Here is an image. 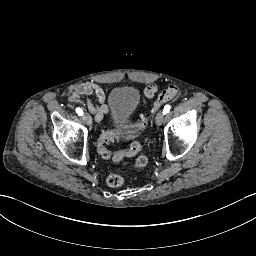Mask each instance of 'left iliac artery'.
I'll return each mask as SVG.
<instances>
[{
	"instance_id": "left-iliac-artery-1",
	"label": "left iliac artery",
	"mask_w": 256,
	"mask_h": 256,
	"mask_svg": "<svg viewBox=\"0 0 256 256\" xmlns=\"http://www.w3.org/2000/svg\"><path fill=\"white\" fill-rule=\"evenodd\" d=\"M170 108H171L170 105H165V106H164V109H163V114L165 115V114L169 113Z\"/></svg>"
}]
</instances>
